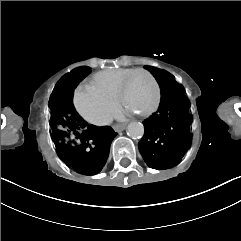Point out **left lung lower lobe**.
Instances as JSON below:
<instances>
[{"label":"left lung lower lobe","instance_id":"obj_1","mask_svg":"<svg viewBox=\"0 0 241 241\" xmlns=\"http://www.w3.org/2000/svg\"><path fill=\"white\" fill-rule=\"evenodd\" d=\"M145 133L138 143L146 164L153 169H168L177 165L191 140L189 102L181 85L161 92L160 106L144 122Z\"/></svg>","mask_w":241,"mask_h":241}]
</instances>
